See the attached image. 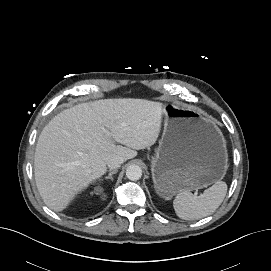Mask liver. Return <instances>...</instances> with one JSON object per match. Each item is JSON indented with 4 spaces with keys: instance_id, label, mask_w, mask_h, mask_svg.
Instances as JSON below:
<instances>
[{
    "instance_id": "1",
    "label": "liver",
    "mask_w": 271,
    "mask_h": 271,
    "mask_svg": "<svg viewBox=\"0 0 271 271\" xmlns=\"http://www.w3.org/2000/svg\"><path fill=\"white\" fill-rule=\"evenodd\" d=\"M163 115L162 104L142 99L99 100L56 115L35 150V180L44 203L56 212L64 210L107 172L110 158L126 161L136 150L154 145Z\"/></svg>"
}]
</instances>
